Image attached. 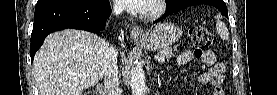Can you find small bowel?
<instances>
[{"label":"small bowel","instance_id":"small-bowel-1","mask_svg":"<svg viewBox=\"0 0 277 95\" xmlns=\"http://www.w3.org/2000/svg\"><path fill=\"white\" fill-rule=\"evenodd\" d=\"M200 60L202 67L205 69L201 73L199 79L201 83H209L216 86L214 95H224L223 89L220 87L223 76V68L216 62V56L213 51L207 50L200 55L196 56ZM194 59V55L191 51L182 52L177 61L180 65H185Z\"/></svg>","mask_w":277,"mask_h":95}]
</instances>
